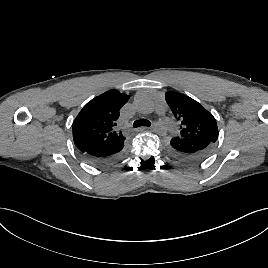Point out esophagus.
I'll list each match as a JSON object with an SVG mask.
<instances>
[{
  "mask_svg": "<svg viewBox=\"0 0 268 268\" xmlns=\"http://www.w3.org/2000/svg\"><path fill=\"white\" fill-rule=\"evenodd\" d=\"M143 130H147V129H151V128H147V127H142Z\"/></svg>",
  "mask_w": 268,
  "mask_h": 268,
  "instance_id": "34e87169",
  "label": "esophagus"
}]
</instances>
